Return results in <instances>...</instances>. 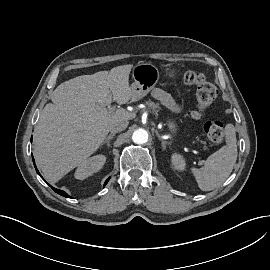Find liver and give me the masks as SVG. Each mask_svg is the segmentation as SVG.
I'll list each match as a JSON object with an SVG mask.
<instances>
[{
    "instance_id": "6515ba94",
    "label": "liver",
    "mask_w": 270,
    "mask_h": 270,
    "mask_svg": "<svg viewBox=\"0 0 270 270\" xmlns=\"http://www.w3.org/2000/svg\"><path fill=\"white\" fill-rule=\"evenodd\" d=\"M131 64L81 75L61 83L46 104L34 133L33 155L44 177L57 182L91 156L104 142L111 125L136 114L107 108L112 101L132 100Z\"/></svg>"
}]
</instances>
